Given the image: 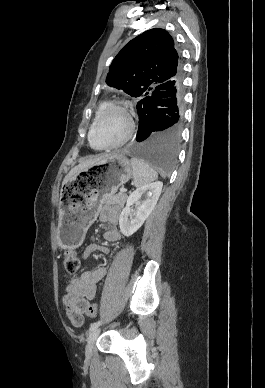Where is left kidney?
Returning <instances> with one entry per match:
<instances>
[{"instance_id":"1","label":"left kidney","mask_w":265,"mask_h":388,"mask_svg":"<svg viewBox=\"0 0 265 388\" xmlns=\"http://www.w3.org/2000/svg\"><path fill=\"white\" fill-rule=\"evenodd\" d=\"M162 188V182H154V184H147V186L137 188L135 192L128 196L126 208H123L119 218V226L123 236H127V238L132 236L143 226L146 218L154 210ZM133 204H137L138 210L136 214H133L134 210L130 208Z\"/></svg>"}]
</instances>
